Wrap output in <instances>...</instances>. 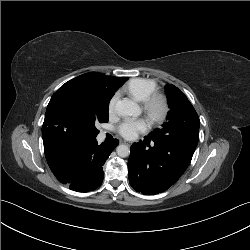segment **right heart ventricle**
<instances>
[{"label":"right heart ventricle","instance_id":"e07e8e85","mask_svg":"<svg viewBox=\"0 0 250 250\" xmlns=\"http://www.w3.org/2000/svg\"><path fill=\"white\" fill-rule=\"evenodd\" d=\"M157 90V83L152 79L134 78L125 86L124 91L128 92L138 101H145L153 92Z\"/></svg>","mask_w":250,"mask_h":250}]
</instances>
